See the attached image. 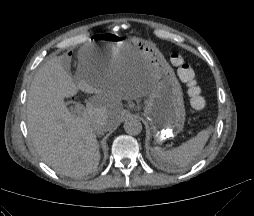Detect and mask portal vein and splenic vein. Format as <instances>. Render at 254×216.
Here are the masks:
<instances>
[{
	"instance_id": "obj_1",
	"label": "portal vein and splenic vein",
	"mask_w": 254,
	"mask_h": 216,
	"mask_svg": "<svg viewBox=\"0 0 254 216\" xmlns=\"http://www.w3.org/2000/svg\"><path fill=\"white\" fill-rule=\"evenodd\" d=\"M82 111H83V106H82V104L79 103V102H77V103L75 104V107H74V114H75L76 116H79V115L82 114Z\"/></svg>"
}]
</instances>
